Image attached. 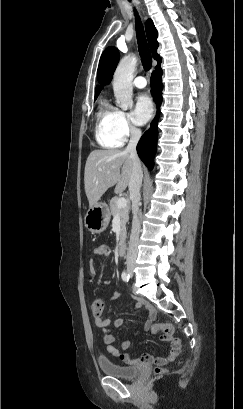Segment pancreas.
I'll use <instances>...</instances> for the list:
<instances>
[{"label": "pancreas", "mask_w": 243, "mask_h": 409, "mask_svg": "<svg viewBox=\"0 0 243 409\" xmlns=\"http://www.w3.org/2000/svg\"><path fill=\"white\" fill-rule=\"evenodd\" d=\"M119 198L116 196L112 198L109 202L110 210H111V215H119L120 216V227H121V232H120V241L125 240L126 236V223L129 220V206L127 205L124 208L118 209L117 208V200Z\"/></svg>", "instance_id": "cf45deb5"}]
</instances>
